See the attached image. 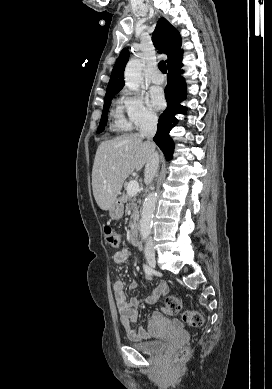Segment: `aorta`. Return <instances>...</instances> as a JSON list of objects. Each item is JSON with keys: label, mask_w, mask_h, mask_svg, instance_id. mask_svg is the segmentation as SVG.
Returning a JSON list of instances; mask_svg holds the SVG:
<instances>
[{"label": "aorta", "mask_w": 272, "mask_h": 389, "mask_svg": "<svg viewBox=\"0 0 272 389\" xmlns=\"http://www.w3.org/2000/svg\"><path fill=\"white\" fill-rule=\"evenodd\" d=\"M143 63L138 58L130 59L124 72L125 85L132 91H137L142 82ZM157 202V193L155 191L148 194L143 203L140 234L143 240L148 239L152 229V219Z\"/></svg>", "instance_id": "obj_1"}]
</instances>
